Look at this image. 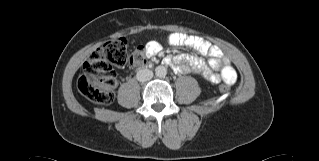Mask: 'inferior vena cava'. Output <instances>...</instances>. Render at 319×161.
Listing matches in <instances>:
<instances>
[{
  "label": "inferior vena cava",
  "mask_w": 319,
  "mask_h": 161,
  "mask_svg": "<svg viewBox=\"0 0 319 161\" xmlns=\"http://www.w3.org/2000/svg\"><path fill=\"white\" fill-rule=\"evenodd\" d=\"M153 77V72L149 69H140L137 72L136 78L139 82H146L151 80Z\"/></svg>",
  "instance_id": "1"
}]
</instances>
